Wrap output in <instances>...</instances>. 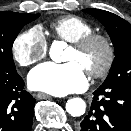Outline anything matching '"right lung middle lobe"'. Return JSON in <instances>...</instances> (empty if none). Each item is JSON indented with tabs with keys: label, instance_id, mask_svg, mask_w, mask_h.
Returning <instances> with one entry per match:
<instances>
[{
	"label": "right lung middle lobe",
	"instance_id": "right-lung-middle-lobe-1",
	"mask_svg": "<svg viewBox=\"0 0 131 131\" xmlns=\"http://www.w3.org/2000/svg\"><path fill=\"white\" fill-rule=\"evenodd\" d=\"M40 14L0 12V71L15 72L12 45L24 25L37 19Z\"/></svg>",
	"mask_w": 131,
	"mask_h": 131
}]
</instances>
